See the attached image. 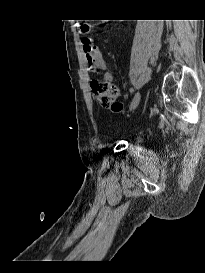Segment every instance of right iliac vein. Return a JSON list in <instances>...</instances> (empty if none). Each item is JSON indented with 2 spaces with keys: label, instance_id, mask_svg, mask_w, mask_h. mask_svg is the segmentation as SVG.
Masks as SVG:
<instances>
[{
  "label": "right iliac vein",
  "instance_id": "right-iliac-vein-1",
  "mask_svg": "<svg viewBox=\"0 0 205 273\" xmlns=\"http://www.w3.org/2000/svg\"><path fill=\"white\" fill-rule=\"evenodd\" d=\"M140 100H141V95H140V93L138 92V93L135 94V96H134V98H133V100H132L130 109H131V110L135 109V108L139 105Z\"/></svg>",
  "mask_w": 205,
  "mask_h": 273
}]
</instances>
